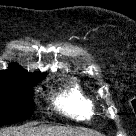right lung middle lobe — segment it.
I'll list each match as a JSON object with an SVG mask.
<instances>
[{"label":"right lung middle lobe","instance_id":"obj_1","mask_svg":"<svg viewBox=\"0 0 136 136\" xmlns=\"http://www.w3.org/2000/svg\"><path fill=\"white\" fill-rule=\"evenodd\" d=\"M44 76L0 81V127L23 121L33 113L32 88Z\"/></svg>","mask_w":136,"mask_h":136}]
</instances>
